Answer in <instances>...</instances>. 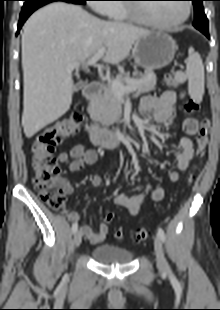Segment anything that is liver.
Here are the masks:
<instances>
[{
	"label": "liver",
	"instance_id": "liver-1",
	"mask_svg": "<svg viewBox=\"0 0 220 310\" xmlns=\"http://www.w3.org/2000/svg\"><path fill=\"white\" fill-rule=\"evenodd\" d=\"M22 34L24 80L22 126L27 138L63 116L74 90L72 63H83L101 47L103 61L118 64L136 40L150 31L133 25L101 20L83 8L64 2L36 11Z\"/></svg>",
	"mask_w": 220,
	"mask_h": 310
}]
</instances>
